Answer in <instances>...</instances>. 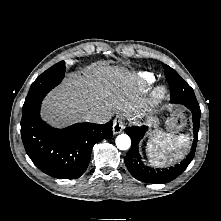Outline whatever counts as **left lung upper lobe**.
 <instances>
[{"mask_svg": "<svg viewBox=\"0 0 221 221\" xmlns=\"http://www.w3.org/2000/svg\"><path fill=\"white\" fill-rule=\"evenodd\" d=\"M163 67H164V70H165V71H164V72H165V77H166V79H167V81H168L169 86H170L172 83L176 82L177 80L182 79V78L178 75V73H177L174 69H172L171 67H169L168 65L164 64Z\"/></svg>", "mask_w": 221, "mask_h": 221, "instance_id": "obj_1", "label": "left lung upper lobe"}]
</instances>
